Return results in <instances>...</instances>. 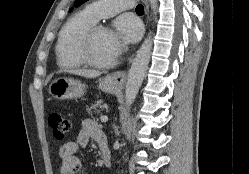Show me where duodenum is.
Listing matches in <instances>:
<instances>
[{"label":"duodenum","mask_w":249,"mask_h":174,"mask_svg":"<svg viewBox=\"0 0 249 174\" xmlns=\"http://www.w3.org/2000/svg\"><path fill=\"white\" fill-rule=\"evenodd\" d=\"M100 151H101V158H102L104 166L107 168H111L112 166L111 153H110L107 143L100 144Z\"/></svg>","instance_id":"410a0bca"}]
</instances>
